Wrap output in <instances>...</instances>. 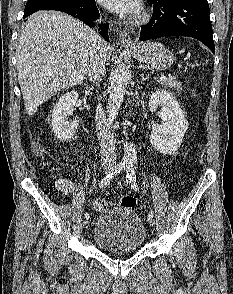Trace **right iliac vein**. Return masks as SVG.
<instances>
[{"instance_id":"right-iliac-vein-1","label":"right iliac vein","mask_w":233,"mask_h":294,"mask_svg":"<svg viewBox=\"0 0 233 294\" xmlns=\"http://www.w3.org/2000/svg\"><path fill=\"white\" fill-rule=\"evenodd\" d=\"M112 170V167L111 166H108V165H105L104 166V172L107 174V173H110ZM90 225V219H85L84 222H83V226L84 228H88Z\"/></svg>"}]
</instances>
